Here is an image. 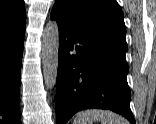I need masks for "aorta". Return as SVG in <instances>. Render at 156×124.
<instances>
[{
    "label": "aorta",
    "mask_w": 156,
    "mask_h": 124,
    "mask_svg": "<svg viewBox=\"0 0 156 124\" xmlns=\"http://www.w3.org/2000/svg\"><path fill=\"white\" fill-rule=\"evenodd\" d=\"M59 29L56 21H49L42 35V68L47 88L56 85L58 71Z\"/></svg>",
    "instance_id": "1"
}]
</instances>
